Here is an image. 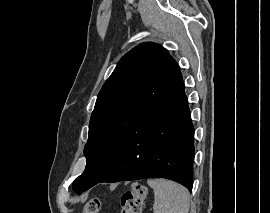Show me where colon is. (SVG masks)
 <instances>
[{"label":"colon","mask_w":270,"mask_h":213,"mask_svg":"<svg viewBox=\"0 0 270 213\" xmlns=\"http://www.w3.org/2000/svg\"><path fill=\"white\" fill-rule=\"evenodd\" d=\"M148 190L141 184H135L126 190L120 198V213H141L146 200ZM101 208L99 198L90 199L85 207L84 213H98Z\"/></svg>","instance_id":"obj_1"}]
</instances>
